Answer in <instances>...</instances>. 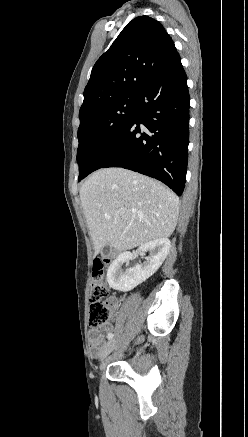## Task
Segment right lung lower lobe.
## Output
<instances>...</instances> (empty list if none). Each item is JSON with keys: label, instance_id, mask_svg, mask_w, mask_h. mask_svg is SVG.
Listing matches in <instances>:
<instances>
[{"label": "right lung lower lobe", "instance_id": "1", "mask_svg": "<svg viewBox=\"0 0 248 437\" xmlns=\"http://www.w3.org/2000/svg\"><path fill=\"white\" fill-rule=\"evenodd\" d=\"M190 98L177 55L136 95L134 112L95 158L91 172L122 167L158 179L181 196L187 171Z\"/></svg>", "mask_w": 248, "mask_h": 437}]
</instances>
